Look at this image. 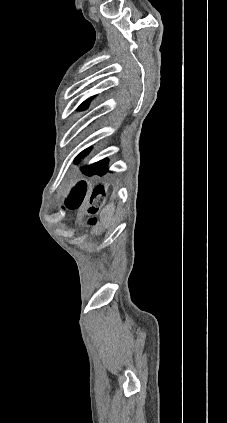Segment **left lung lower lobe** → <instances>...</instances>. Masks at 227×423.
Instances as JSON below:
<instances>
[{
    "label": "left lung lower lobe",
    "instance_id": "0a47b994",
    "mask_svg": "<svg viewBox=\"0 0 227 423\" xmlns=\"http://www.w3.org/2000/svg\"><path fill=\"white\" fill-rule=\"evenodd\" d=\"M88 152H89V149H86V150H84L83 152H81V153L78 155V157H79V158H80V157H84V156H86V154H88ZM77 162H79V160H76V163H77ZM107 171H108V170H107V160H106V159L101 160V161H99V162H97V163H95V164H93V165H91V166H88V167L82 168V172H83L85 175H88V176H91V175H93V174H97V175H99V176H102V175H104Z\"/></svg>",
    "mask_w": 227,
    "mask_h": 423
}]
</instances>
